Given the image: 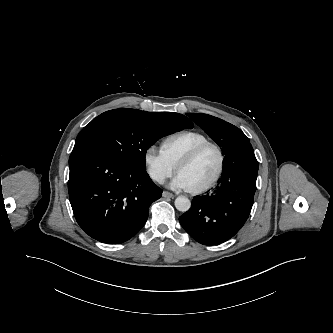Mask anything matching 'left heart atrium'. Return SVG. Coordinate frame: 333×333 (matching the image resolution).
Here are the masks:
<instances>
[{
	"label": "left heart atrium",
	"mask_w": 333,
	"mask_h": 333,
	"mask_svg": "<svg viewBox=\"0 0 333 333\" xmlns=\"http://www.w3.org/2000/svg\"><path fill=\"white\" fill-rule=\"evenodd\" d=\"M171 187L178 190H190L189 184L180 173L172 180Z\"/></svg>",
	"instance_id": "obj_1"
}]
</instances>
